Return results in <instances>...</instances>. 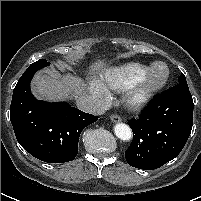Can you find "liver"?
<instances>
[{
	"label": "liver",
	"mask_w": 201,
	"mask_h": 201,
	"mask_svg": "<svg viewBox=\"0 0 201 201\" xmlns=\"http://www.w3.org/2000/svg\"><path fill=\"white\" fill-rule=\"evenodd\" d=\"M103 65L102 61H98L91 66V70H99ZM32 91L39 99L57 101L84 94L85 84L76 76L71 74L62 76L52 69L47 72H39L34 76Z\"/></svg>",
	"instance_id": "obj_1"
}]
</instances>
